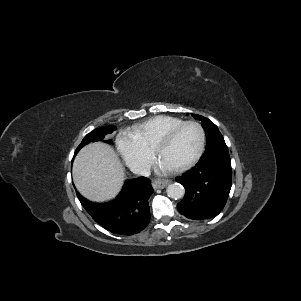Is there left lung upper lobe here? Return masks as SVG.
Segmentation results:
<instances>
[{
    "instance_id": "5c2ea615",
    "label": "left lung upper lobe",
    "mask_w": 301,
    "mask_h": 301,
    "mask_svg": "<svg viewBox=\"0 0 301 301\" xmlns=\"http://www.w3.org/2000/svg\"><path fill=\"white\" fill-rule=\"evenodd\" d=\"M192 116L195 119L202 121V126L206 133V149L198 163L212 160H220L231 163L228 148L217 126L203 116L194 114H192Z\"/></svg>"
}]
</instances>
